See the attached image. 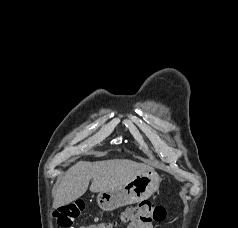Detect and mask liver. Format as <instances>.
Segmentation results:
<instances>
[{"label": "liver", "mask_w": 238, "mask_h": 228, "mask_svg": "<svg viewBox=\"0 0 238 228\" xmlns=\"http://www.w3.org/2000/svg\"><path fill=\"white\" fill-rule=\"evenodd\" d=\"M153 170L144 163L126 159H112L105 161H80L63 176L53 193V207L67 205L80 198L88 189L91 192H103L116 189L139 174Z\"/></svg>", "instance_id": "1"}]
</instances>
